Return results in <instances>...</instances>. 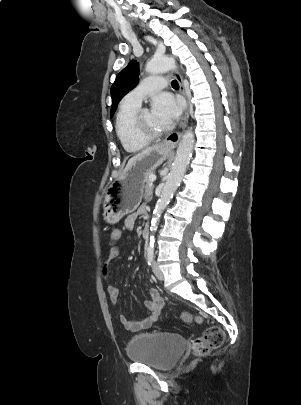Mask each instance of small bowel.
Returning <instances> with one entry per match:
<instances>
[{
    "instance_id": "small-bowel-1",
    "label": "small bowel",
    "mask_w": 301,
    "mask_h": 405,
    "mask_svg": "<svg viewBox=\"0 0 301 405\" xmlns=\"http://www.w3.org/2000/svg\"><path fill=\"white\" fill-rule=\"evenodd\" d=\"M146 208L144 206L140 207L136 212L130 213L126 216L124 221V226L128 231H131L135 227L136 220L139 215H145ZM122 233L120 230H117V233L110 236V248L108 253L109 261L114 260L118 257L120 253V246L118 245L119 240L121 239ZM107 265L103 267V272L106 273ZM108 295L113 303L118 301L120 290L119 288L109 283L107 285ZM144 305L148 310V314L139 319V320H130L125 315L120 316V321L124 327L132 332L139 330L147 329L152 326V324L158 319L163 308V300L154 288L149 290V298L145 300Z\"/></svg>"
}]
</instances>
